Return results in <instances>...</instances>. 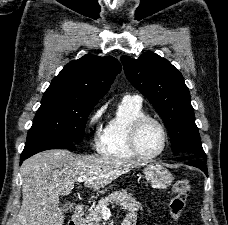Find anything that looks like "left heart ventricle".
<instances>
[{
    "label": "left heart ventricle",
    "instance_id": "obj_1",
    "mask_svg": "<svg viewBox=\"0 0 228 225\" xmlns=\"http://www.w3.org/2000/svg\"><path fill=\"white\" fill-rule=\"evenodd\" d=\"M163 145V133L160 127L153 123H147L140 134V146L144 153L155 154Z\"/></svg>",
    "mask_w": 228,
    "mask_h": 225
}]
</instances>
